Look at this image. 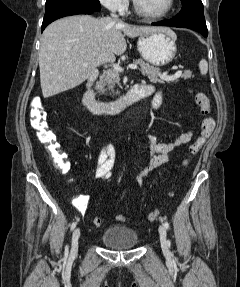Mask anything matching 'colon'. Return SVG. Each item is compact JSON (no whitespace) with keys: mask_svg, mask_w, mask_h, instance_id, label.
<instances>
[{"mask_svg":"<svg viewBox=\"0 0 240 287\" xmlns=\"http://www.w3.org/2000/svg\"><path fill=\"white\" fill-rule=\"evenodd\" d=\"M195 102L204 118L201 123L200 135L189 147L188 158H191L198 153L215 127L214 119L208 116L211 111V103L208 95L204 92H197L195 94ZM46 116L47 114L41 100L38 98L34 99L31 103L30 109V125L35 131L38 140L42 144L46 145L47 149L50 151L56 166L60 170L66 171L69 168V164L65 155H63L57 148L55 134L49 129L46 122ZM187 162L188 159L185 160L184 165H186ZM170 194L172 193L170 192ZM158 217L159 211L154 210L147 215V220L153 222L156 221ZM116 219L117 221L123 222L126 220V217L123 215H117ZM92 223L94 226L99 227L102 224V219L100 217H95L92 220Z\"/></svg>","mask_w":240,"mask_h":287,"instance_id":"5ec220e1","label":"colon"}]
</instances>
